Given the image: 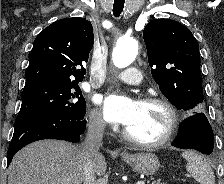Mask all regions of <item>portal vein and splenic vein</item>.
<instances>
[{
  "mask_svg": "<svg viewBox=\"0 0 224 184\" xmlns=\"http://www.w3.org/2000/svg\"><path fill=\"white\" fill-rule=\"evenodd\" d=\"M136 184H145L144 181H138Z\"/></svg>",
  "mask_w": 224,
  "mask_h": 184,
  "instance_id": "obj_1",
  "label": "portal vein and splenic vein"
}]
</instances>
